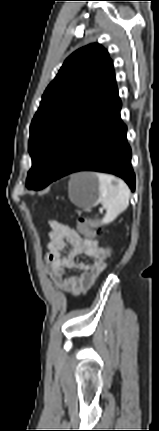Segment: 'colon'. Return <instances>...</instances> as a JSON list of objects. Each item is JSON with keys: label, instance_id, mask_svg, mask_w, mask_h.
Wrapping results in <instances>:
<instances>
[{"label": "colon", "instance_id": "5ec220e1", "mask_svg": "<svg viewBox=\"0 0 159 431\" xmlns=\"http://www.w3.org/2000/svg\"><path fill=\"white\" fill-rule=\"evenodd\" d=\"M97 226L98 220L96 218L77 219V228L83 233V237H102L103 228ZM103 251L104 254L102 256H105L107 261L114 255V252L111 249H103Z\"/></svg>", "mask_w": 159, "mask_h": 431}]
</instances>
